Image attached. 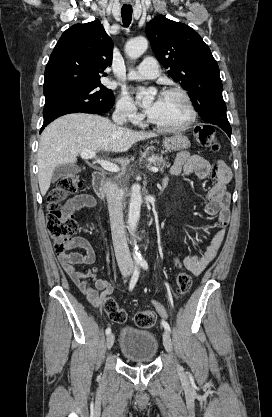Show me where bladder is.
Here are the masks:
<instances>
[{"mask_svg":"<svg viewBox=\"0 0 272 417\" xmlns=\"http://www.w3.org/2000/svg\"><path fill=\"white\" fill-rule=\"evenodd\" d=\"M159 343L153 333L133 327L121 331L120 351L132 363H149L154 360Z\"/></svg>","mask_w":272,"mask_h":417,"instance_id":"obj_1","label":"bladder"}]
</instances>
